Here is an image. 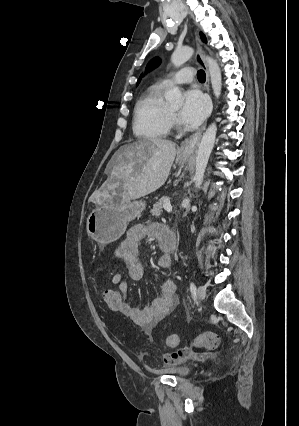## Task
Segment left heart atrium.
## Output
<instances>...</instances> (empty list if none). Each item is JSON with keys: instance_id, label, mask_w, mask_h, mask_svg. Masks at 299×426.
<instances>
[{"instance_id": "1", "label": "left heart atrium", "mask_w": 299, "mask_h": 426, "mask_svg": "<svg viewBox=\"0 0 299 426\" xmlns=\"http://www.w3.org/2000/svg\"><path fill=\"white\" fill-rule=\"evenodd\" d=\"M209 104L206 97L196 89H190L185 93L184 105L181 109V119L190 125H198L206 117Z\"/></svg>"}]
</instances>
